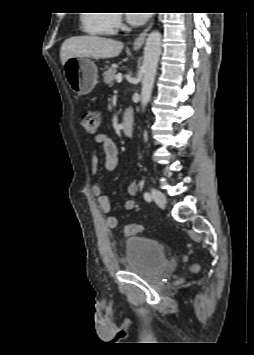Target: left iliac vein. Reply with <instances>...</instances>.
I'll use <instances>...</instances> for the list:
<instances>
[{
	"mask_svg": "<svg viewBox=\"0 0 254 355\" xmlns=\"http://www.w3.org/2000/svg\"><path fill=\"white\" fill-rule=\"evenodd\" d=\"M152 198H153V200L156 202V204L159 207H161V208L165 207V205H166V197H165V195L162 192L153 189L152 190Z\"/></svg>",
	"mask_w": 254,
	"mask_h": 355,
	"instance_id": "left-iliac-vein-1",
	"label": "left iliac vein"
}]
</instances>
